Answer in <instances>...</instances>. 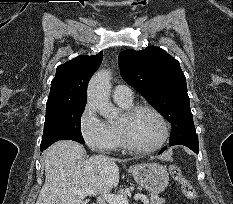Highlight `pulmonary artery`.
I'll return each instance as SVG.
<instances>
[{"label": "pulmonary artery", "mask_w": 233, "mask_h": 204, "mask_svg": "<svg viewBox=\"0 0 233 204\" xmlns=\"http://www.w3.org/2000/svg\"><path fill=\"white\" fill-rule=\"evenodd\" d=\"M113 99L116 102H131L133 100V92L127 85H116L113 90Z\"/></svg>", "instance_id": "pulmonary-artery-1"}]
</instances>
